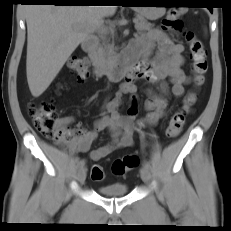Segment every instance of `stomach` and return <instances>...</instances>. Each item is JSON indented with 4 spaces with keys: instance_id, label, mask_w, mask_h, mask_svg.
Masks as SVG:
<instances>
[{
    "instance_id": "stomach-1",
    "label": "stomach",
    "mask_w": 231,
    "mask_h": 231,
    "mask_svg": "<svg viewBox=\"0 0 231 231\" xmlns=\"http://www.w3.org/2000/svg\"><path fill=\"white\" fill-rule=\"evenodd\" d=\"M135 9L147 19H156L165 13V7H136Z\"/></svg>"
}]
</instances>
